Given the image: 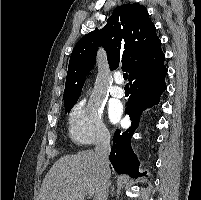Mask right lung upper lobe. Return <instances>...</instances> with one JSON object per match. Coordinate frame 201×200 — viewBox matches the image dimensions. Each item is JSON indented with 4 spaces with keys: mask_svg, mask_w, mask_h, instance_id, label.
<instances>
[{
    "mask_svg": "<svg viewBox=\"0 0 201 200\" xmlns=\"http://www.w3.org/2000/svg\"><path fill=\"white\" fill-rule=\"evenodd\" d=\"M102 29L97 28L75 45L69 60L63 100L79 98L87 73L96 61L98 46L107 53L112 69L122 64L129 82L164 65L165 55L146 8L137 3L117 7Z\"/></svg>",
    "mask_w": 201,
    "mask_h": 200,
    "instance_id": "obj_1",
    "label": "right lung upper lobe"
}]
</instances>
